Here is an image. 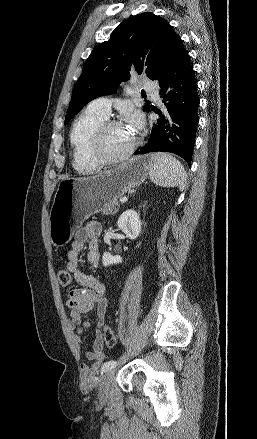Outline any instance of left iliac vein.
Returning <instances> with one entry per match:
<instances>
[{"label":"left iliac vein","instance_id":"obj_1","mask_svg":"<svg viewBox=\"0 0 257 439\" xmlns=\"http://www.w3.org/2000/svg\"><path fill=\"white\" fill-rule=\"evenodd\" d=\"M115 372L114 370H108L101 377V381L99 384V398L102 401L107 400L109 396L110 384L114 378Z\"/></svg>","mask_w":257,"mask_h":439}]
</instances>
